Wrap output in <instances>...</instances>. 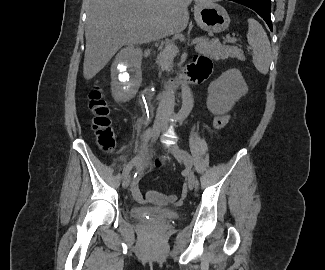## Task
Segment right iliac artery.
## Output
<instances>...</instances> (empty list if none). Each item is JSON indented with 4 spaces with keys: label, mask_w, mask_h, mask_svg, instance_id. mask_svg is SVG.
I'll return each mask as SVG.
<instances>
[{
    "label": "right iliac artery",
    "mask_w": 325,
    "mask_h": 270,
    "mask_svg": "<svg viewBox=\"0 0 325 270\" xmlns=\"http://www.w3.org/2000/svg\"><path fill=\"white\" fill-rule=\"evenodd\" d=\"M151 131L152 129H148L144 135H143V143H144V146L147 145L150 137H151ZM141 160V155H137L136 157H134L127 165L126 167L124 168L123 170V178H125L129 172L131 171V169L134 167L135 164H137L139 161Z\"/></svg>",
    "instance_id": "right-iliac-artery-1"
}]
</instances>
